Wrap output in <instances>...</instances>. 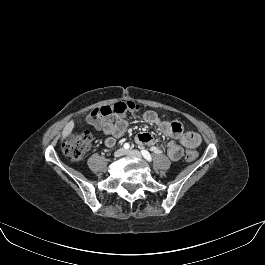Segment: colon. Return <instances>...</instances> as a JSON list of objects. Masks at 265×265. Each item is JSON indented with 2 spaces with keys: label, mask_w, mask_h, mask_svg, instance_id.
<instances>
[{
  "label": "colon",
  "mask_w": 265,
  "mask_h": 265,
  "mask_svg": "<svg viewBox=\"0 0 265 265\" xmlns=\"http://www.w3.org/2000/svg\"><path fill=\"white\" fill-rule=\"evenodd\" d=\"M139 110V105L132 101H118L92 110L88 119L94 126L100 125L113 117H122ZM92 145V136L89 131L68 133L62 141V150L65 155L74 161H81ZM198 152L194 149L186 151L185 159L193 161Z\"/></svg>",
  "instance_id": "5ec220e1"
}]
</instances>
